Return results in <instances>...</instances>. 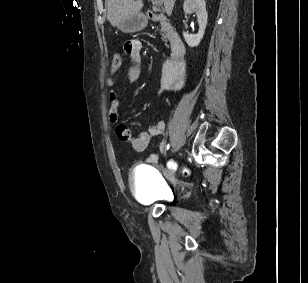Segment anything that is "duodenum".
Segmentation results:
<instances>
[{
    "label": "duodenum",
    "instance_id": "410a0bca",
    "mask_svg": "<svg viewBox=\"0 0 308 283\" xmlns=\"http://www.w3.org/2000/svg\"><path fill=\"white\" fill-rule=\"evenodd\" d=\"M147 17L150 20H164V18L161 15H159L153 10H149L147 12ZM170 46H171L173 64L174 66H180L182 64L181 58L183 57L185 52V44L181 36L175 30H171Z\"/></svg>",
    "mask_w": 308,
    "mask_h": 283
}]
</instances>
